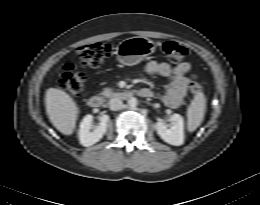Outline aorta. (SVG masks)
<instances>
[{"label": "aorta", "instance_id": "1", "mask_svg": "<svg viewBox=\"0 0 260 205\" xmlns=\"http://www.w3.org/2000/svg\"><path fill=\"white\" fill-rule=\"evenodd\" d=\"M128 105L132 108L136 107L137 106V99L135 97H131L128 99Z\"/></svg>", "mask_w": 260, "mask_h": 205}]
</instances>
